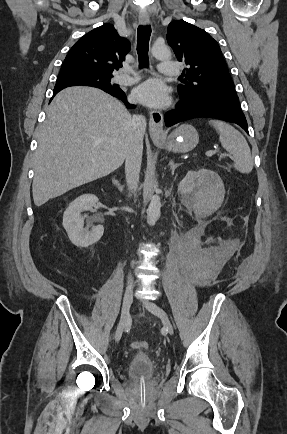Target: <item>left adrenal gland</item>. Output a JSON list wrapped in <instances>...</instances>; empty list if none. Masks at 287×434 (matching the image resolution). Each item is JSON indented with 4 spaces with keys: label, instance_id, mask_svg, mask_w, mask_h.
I'll return each mask as SVG.
<instances>
[{
    "label": "left adrenal gland",
    "instance_id": "left-adrenal-gland-1",
    "mask_svg": "<svg viewBox=\"0 0 287 434\" xmlns=\"http://www.w3.org/2000/svg\"><path fill=\"white\" fill-rule=\"evenodd\" d=\"M168 165H169V167H170V169H171V173H172V175H173L175 169H176L180 164H176V163H174L173 160H170Z\"/></svg>",
    "mask_w": 287,
    "mask_h": 434
}]
</instances>
